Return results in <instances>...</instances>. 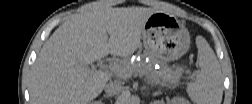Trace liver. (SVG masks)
Returning a JSON list of instances; mask_svg holds the SVG:
<instances>
[{
	"mask_svg": "<svg viewBox=\"0 0 252 104\" xmlns=\"http://www.w3.org/2000/svg\"><path fill=\"white\" fill-rule=\"evenodd\" d=\"M145 7L93 5L67 19L41 48L30 75V97L38 104H86L111 76L90 64L108 54L129 57L138 48L148 18Z\"/></svg>",
	"mask_w": 252,
	"mask_h": 104,
	"instance_id": "liver-1",
	"label": "liver"
}]
</instances>
